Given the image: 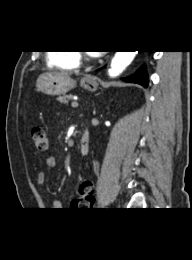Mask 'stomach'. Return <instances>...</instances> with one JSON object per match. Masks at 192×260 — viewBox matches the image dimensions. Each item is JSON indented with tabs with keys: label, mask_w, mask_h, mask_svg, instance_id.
Listing matches in <instances>:
<instances>
[{
	"label": "stomach",
	"mask_w": 192,
	"mask_h": 260,
	"mask_svg": "<svg viewBox=\"0 0 192 260\" xmlns=\"http://www.w3.org/2000/svg\"><path fill=\"white\" fill-rule=\"evenodd\" d=\"M81 86L91 92L98 88L97 80L93 77H85L80 81ZM37 89L49 96H58L69 92L76 87V81L61 73H45L38 77Z\"/></svg>",
	"instance_id": "obj_1"
}]
</instances>
